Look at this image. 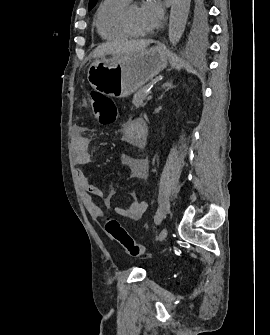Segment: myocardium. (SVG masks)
<instances>
[{
    "label": "myocardium",
    "mask_w": 270,
    "mask_h": 335,
    "mask_svg": "<svg viewBox=\"0 0 270 335\" xmlns=\"http://www.w3.org/2000/svg\"><path fill=\"white\" fill-rule=\"evenodd\" d=\"M127 9H124V11L121 14V23L124 29L127 31L128 34L134 37L140 36V33H136L130 26L128 19H127Z\"/></svg>",
    "instance_id": "f54148a6"
}]
</instances>
